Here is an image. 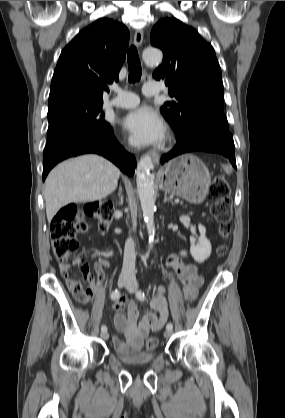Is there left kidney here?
Here are the masks:
<instances>
[{
    "mask_svg": "<svg viewBox=\"0 0 285 418\" xmlns=\"http://www.w3.org/2000/svg\"><path fill=\"white\" fill-rule=\"evenodd\" d=\"M200 237L197 243L192 242L190 246V253L196 262H204L211 254L212 246L206 237V228L202 225H198Z\"/></svg>",
    "mask_w": 285,
    "mask_h": 418,
    "instance_id": "left-kidney-1",
    "label": "left kidney"
}]
</instances>
